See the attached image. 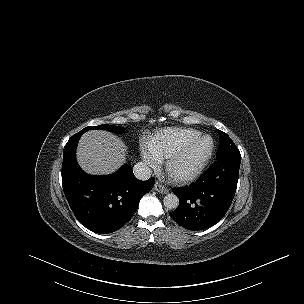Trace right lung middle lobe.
<instances>
[{
    "label": "right lung middle lobe",
    "instance_id": "obj_1",
    "mask_svg": "<svg viewBox=\"0 0 304 304\" xmlns=\"http://www.w3.org/2000/svg\"><path fill=\"white\" fill-rule=\"evenodd\" d=\"M91 129L107 130L109 132H113V133H117V134L125 132V128H123V127L103 124V125H98V126H95V127H86L83 130H81L80 133H84V132H86L88 130H91Z\"/></svg>",
    "mask_w": 304,
    "mask_h": 304
}]
</instances>
